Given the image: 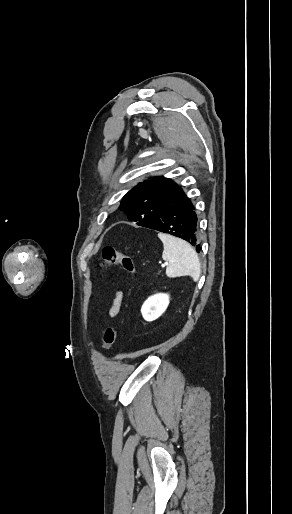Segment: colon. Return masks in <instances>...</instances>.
<instances>
[{"mask_svg":"<svg viewBox=\"0 0 292 514\" xmlns=\"http://www.w3.org/2000/svg\"><path fill=\"white\" fill-rule=\"evenodd\" d=\"M99 265L102 268L121 266L128 272L135 271V264L130 254L122 253L114 246L108 245L102 248ZM119 336V328L116 326H108L105 328L101 344L103 349L112 346Z\"/></svg>","mask_w":292,"mask_h":514,"instance_id":"colon-1","label":"colon"}]
</instances>
